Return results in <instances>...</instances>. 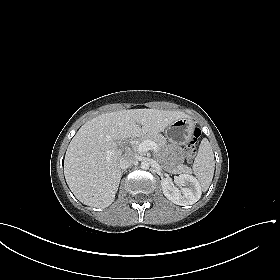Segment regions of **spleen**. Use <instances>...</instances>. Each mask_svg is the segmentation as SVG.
Returning a JSON list of instances; mask_svg holds the SVG:
<instances>
[{
    "instance_id": "3e777b00",
    "label": "spleen",
    "mask_w": 280,
    "mask_h": 280,
    "mask_svg": "<svg viewBox=\"0 0 280 280\" xmlns=\"http://www.w3.org/2000/svg\"><path fill=\"white\" fill-rule=\"evenodd\" d=\"M215 162L211 145L207 138H203L198 154L193 163V173L198 179L203 191H206L214 175Z\"/></svg>"
}]
</instances>
